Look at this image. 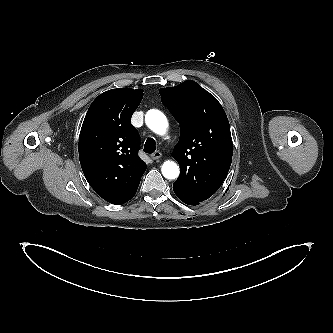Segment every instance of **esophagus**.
Instances as JSON below:
<instances>
[{
    "label": "esophagus",
    "mask_w": 333,
    "mask_h": 333,
    "mask_svg": "<svg viewBox=\"0 0 333 333\" xmlns=\"http://www.w3.org/2000/svg\"><path fill=\"white\" fill-rule=\"evenodd\" d=\"M162 153L160 151H155L154 153L151 154V158L153 160H158L159 158H161Z\"/></svg>",
    "instance_id": "obj_1"
}]
</instances>
